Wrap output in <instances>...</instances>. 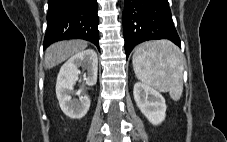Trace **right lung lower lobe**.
<instances>
[{
    "label": "right lung lower lobe",
    "mask_w": 227,
    "mask_h": 142,
    "mask_svg": "<svg viewBox=\"0 0 227 142\" xmlns=\"http://www.w3.org/2000/svg\"><path fill=\"white\" fill-rule=\"evenodd\" d=\"M97 0H48L44 49L60 40L79 38L99 49Z\"/></svg>",
    "instance_id": "98d812e1"
}]
</instances>
